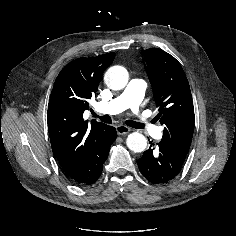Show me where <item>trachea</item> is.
Here are the masks:
<instances>
[{"label": "trachea", "mask_w": 236, "mask_h": 236, "mask_svg": "<svg viewBox=\"0 0 236 236\" xmlns=\"http://www.w3.org/2000/svg\"><path fill=\"white\" fill-rule=\"evenodd\" d=\"M93 117L99 118L102 122L111 124L112 123V118L109 115H104V116H98L96 113H92ZM126 124L130 127L136 128V129H142L143 126L139 124L138 122L132 121V120H127Z\"/></svg>", "instance_id": "3493384b"}]
</instances>
